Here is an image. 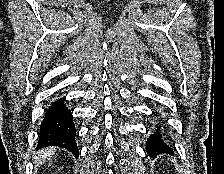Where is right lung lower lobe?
<instances>
[{"instance_id":"98d812e1","label":"right lung lower lobe","mask_w":224,"mask_h":174,"mask_svg":"<svg viewBox=\"0 0 224 174\" xmlns=\"http://www.w3.org/2000/svg\"><path fill=\"white\" fill-rule=\"evenodd\" d=\"M76 129L72 114L64 105V98L56 100L46 111L41 123L37 149L46 146L65 148L78 157Z\"/></svg>"}]
</instances>
